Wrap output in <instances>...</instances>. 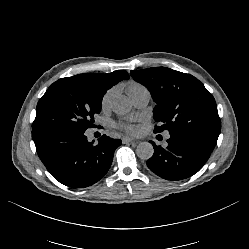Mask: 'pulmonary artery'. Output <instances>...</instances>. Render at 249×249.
<instances>
[{
	"label": "pulmonary artery",
	"instance_id": "e3ab8cb5",
	"mask_svg": "<svg viewBox=\"0 0 249 249\" xmlns=\"http://www.w3.org/2000/svg\"><path fill=\"white\" fill-rule=\"evenodd\" d=\"M131 99L135 107L142 109L148 105L149 100H150V93L149 91H143V92H140L138 94L131 96ZM165 137L168 139L170 135L167 133Z\"/></svg>",
	"mask_w": 249,
	"mask_h": 249
}]
</instances>
